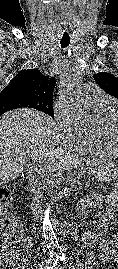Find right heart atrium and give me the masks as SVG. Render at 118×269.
I'll return each instance as SVG.
<instances>
[{
	"label": "right heart atrium",
	"instance_id": "right-heart-atrium-1",
	"mask_svg": "<svg viewBox=\"0 0 118 269\" xmlns=\"http://www.w3.org/2000/svg\"><path fill=\"white\" fill-rule=\"evenodd\" d=\"M55 120L61 129L63 140L72 147L79 149L90 141L91 135L82 130L71 117L56 111Z\"/></svg>",
	"mask_w": 118,
	"mask_h": 269
}]
</instances>
